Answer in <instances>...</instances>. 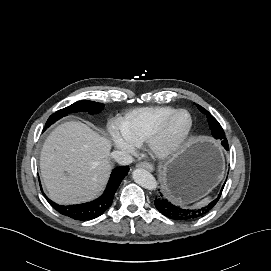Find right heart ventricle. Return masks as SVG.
Wrapping results in <instances>:
<instances>
[{
	"instance_id": "obj_1",
	"label": "right heart ventricle",
	"mask_w": 271,
	"mask_h": 271,
	"mask_svg": "<svg viewBox=\"0 0 271 271\" xmlns=\"http://www.w3.org/2000/svg\"><path fill=\"white\" fill-rule=\"evenodd\" d=\"M175 110L168 106L134 109L121 119V132L130 142L140 145L146 142Z\"/></svg>"
}]
</instances>
